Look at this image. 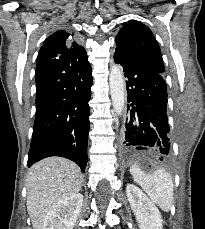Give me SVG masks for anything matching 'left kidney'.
<instances>
[{
	"label": "left kidney",
	"instance_id": "5707ae66",
	"mask_svg": "<svg viewBox=\"0 0 205 229\" xmlns=\"http://www.w3.org/2000/svg\"><path fill=\"white\" fill-rule=\"evenodd\" d=\"M126 195L140 229H163V220L158 208L142 190L128 184Z\"/></svg>",
	"mask_w": 205,
	"mask_h": 229
}]
</instances>
